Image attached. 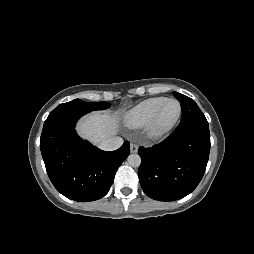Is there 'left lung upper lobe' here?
Instances as JSON below:
<instances>
[{
    "mask_svg": "<svg viewBox=\"0 0 254 254\" xmlns=\"http://www.w3.org/2000/svg\"><path fill=\"white\" fill-rule=\"evenodd\" d=\"M173 95L181 103L182 118L180 124H185L193 121L207 122L204 114L199 109L194 100L177 92H173Z\"/></svg>",
    "mask_w": 254,
    "mask_h": 254,
    "instance_id": "obj_1",
    "label": "left lung upper lobe"
}]
</instances>
